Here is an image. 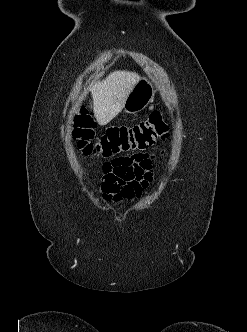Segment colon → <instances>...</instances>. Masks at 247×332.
I'll return each instance as SVG.
<instances>
[{"label":"colon","instance_id":"1","mask_svg":"<svg viewBox=\"0 0 247 332\" xmlns=\"http://www.w3.org/2000/svg\"><path fill=\"white\" fill-rule=\"evenodd\" d=\"M96 123L85 107H81L73 116V138L78 148L86 155H98L104 158L115 156L130 150H145L164 138L167 125L163 115L152 112L148 118L132 126L114 127L95 137Z\"/></svg>","mask_w":247,"mask_h":332}]
</instances>
